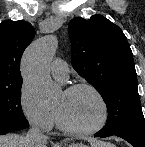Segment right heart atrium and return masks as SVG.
<instances>
[{
  "label": "right heart atrium",
  "instance_id": "d8ad5b80",
  "mask_svg": "<svg viewBox=\"0 0 145 147\" xmlns=\"http://www.w3.org/2000/svg\"><path fill=\"white\" fill-rule=\"evenodd\" d=\"M18 106L21 115L31 126L44 132L53 128L56 121L55 112L39 105L25 83L19 90Z\"/></svg>",
  "mask_w": 145,
  "mask_h": 147
}]
</instances>
